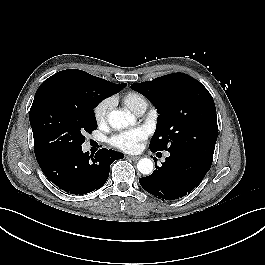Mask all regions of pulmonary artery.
<instances>
[{
    "instance_id": "e3ab8cb5",
    "label": "pulmonary artery",
    "mask_w": 265,
    "mask_h": 265,
    "mask_svg": "<svg viewBox=\"0 0 265 265\" xmlns=\"http://www.w3.org/2000/svg\"><path fill=\"white\" fill-rule=\"evenodd\" d=\"M143 113H144V112H140V113H138V115H141V114H143ZM165 156H169V153H166Z\"/></svg>"
}]
</instances>
